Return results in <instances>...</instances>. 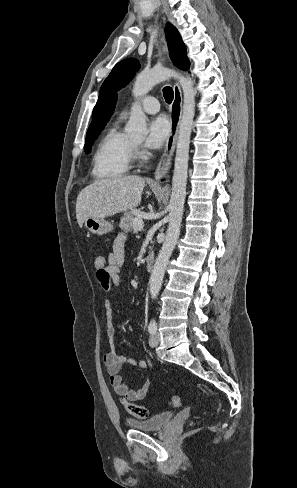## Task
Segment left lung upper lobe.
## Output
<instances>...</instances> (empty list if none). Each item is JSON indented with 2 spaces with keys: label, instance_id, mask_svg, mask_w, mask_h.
<instances>
[{
  "label": "left lung upper lobe",
  "instance_id": "5c2ea615",
  "mask_svg": "<svg viewBox=\"0 0 297 488\" xmlns=\"http://www.w3.org/2000/svg\"><path fill=\"white\" fill-rule=\"evenodd\" d=\"M165 33L168 42L170 57L173 63L179 69H189L190 64L187 58L186 48L179 32L172 24L167 23ZM139 68L140 64L138 60L134 58L125 59L117 63L101 86L99 98L93 109V114L97 112V110L105 102L107 97L125 87L133 79L135 73L139 70Z\"/></svg>",
  "mask_w": 297,
  "mask_h": 488
}]
</instances>
